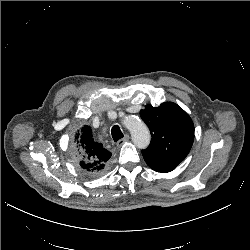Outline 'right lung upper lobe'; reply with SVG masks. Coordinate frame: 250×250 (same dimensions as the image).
Listing matches in <instances>:
<instances>
[{
    "mask_svg": "<svg viewBox=\"0 0 250 250\" xmlns=\"http://www.w3.org/2000/svg\"><path fill=\"white\" fill-rule=\"evenodd\" d=\"M74 143L77 162L81 167L93 170L107 168L112 154L101 143L94 141L90 126L85 125L77 131Z\"/></svg>",
    "mask_w": 250,
    "mask_h": 250,
    "instance_id": "cb5924a9",
    "label": "right lung upper lobe"
}]
</instances>
